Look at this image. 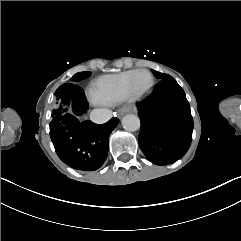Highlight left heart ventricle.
Returning a JSON list of instances; mask_svg holds the SVG:
<instances>
[{
	"label": "left heart ventricle",
	"mask_w": 241,
	"mask_h": 241,
	"mask_svg": "<svg viewBox=\"0 0 241 241\" xmlns=\"http://www.w3.org/2000/svg\"><path fill=\"white\" fill-rule=\"evenodd\" d=\"M150 79L148 76L143 75L136 81L128 84L127 89L131 96H138L144 93L145 87L148 86Z\"/></svg>",
	"instance_id": "1"
}]
</instances>
